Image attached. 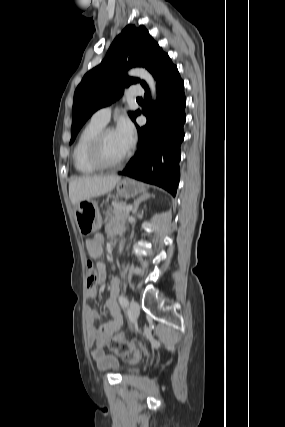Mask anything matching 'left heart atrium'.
Instances as JSON below:
<instances>
[{"label":"left heart atrium","instance_id":"left-heart-atrium-1","mask_svg":"<svg viewBox=\"0 0 285 427\" xmlns=\"http://www.w3.org/2000/svg\"><path fill=\"white\" fill-rule=\"evenodd\" d=\"M115 131L124 146L130 150L136 141V131L132 122L127 118L120 119Z\"/></svg>","mask_w":285,"mask_h":427}]
</instances>
